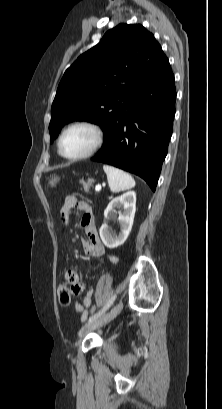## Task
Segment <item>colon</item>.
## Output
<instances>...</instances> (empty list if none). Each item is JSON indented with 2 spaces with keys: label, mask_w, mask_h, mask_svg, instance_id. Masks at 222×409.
Segmentation results:
<instances>
[{
  "label": "colon",
  "mask_w": 222,
  "mask_h": 409,
  "mask_svg": "<svg viewBox=\"0 0 222 409\" xmlns=\"http://www.w3.org/2000/svg\"><path fill=\"white\" fill-rule=\"evenodd\" d=\"M71 290L72 289L70 288V283L66 284L65 281L63 280L62 284L59 286V289H58V300L61 305L68 306L70 304L71 298H72ZM96 310H97V307L92 306L90 307L89 313L94 314Z\"/></svg>",
  "instance_id": "5ec220e1"
}]
</instances>
